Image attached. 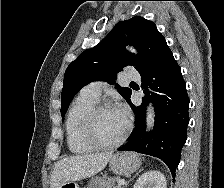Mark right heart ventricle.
Masks as SVG:
<instances>
[{"label":"right heart ventricle","instance_id":"1","mask_svg":"<svg viewBox=\"0 0 224 188\" xmlns=\"http://www.w3.org/2000/svg\"><path fill=\"white\" fill-rule=\"evenodd\" d=\"M97 101V99L81 91L69 108L65 122L66 141L69 150L74 154H84L94 148L83 136V122Z\"/></svg>","mask_w":224,"mask_h":188}]
</instances>
